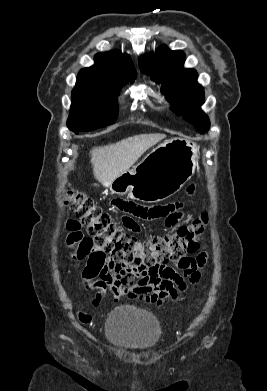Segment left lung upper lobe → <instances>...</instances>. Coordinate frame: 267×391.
<instances>
[{"instance_id":"obj_1","label":"left lung upper lobe","mask_w":267,"mask_h":391,"mask_svg":"<svg viewBox=\"0 0 267 391\" xmlns=\"http://www.w3.org/2000/svg\"><path fill=\"white\" fill-rule=\"evenodd\" d=\"M184 62L182 51H171L166 46L160 47L155 55H144L139 60L141 69L162 84L161 91L171 103V109L204 133L210 126L208 116L201 110L204 91L197 83V72L183 69Z\"/></svg>"}]
</instances>
